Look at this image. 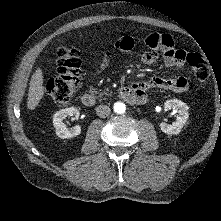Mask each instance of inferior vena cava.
Instances as JSON below:
<instances>
[{
	"instance_id": "inferior-vena-cava-1",
	"label": "inferior vena cava",
	"mask_w": 221,
	"mask_h": 221,
	"mask_svg": "<svg viewBox=\"0 0 221 221\" xmlns=\"http://www.w3.org/2000/svg\"><path fill=\"white\" fill-rule=\"evenodd\" d=\"M110 112L111 109L107 105H99L98 107H96V114L101 118L107 117Z\"/></svg>"
}]
</instances>
